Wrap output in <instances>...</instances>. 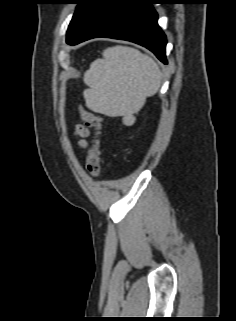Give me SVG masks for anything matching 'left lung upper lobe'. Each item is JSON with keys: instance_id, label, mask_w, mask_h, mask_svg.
<instances>
[{"instance_id": "5c2ea615", "label": "left lung upper lobe", "mask_w": 236, "mask_h": 321, "mask_svg": "<svg viewBox=\"0 0 236 321\" xmlns=\"http://www.w3.org/2000/svg\"><path fill=\"white\" fill-rule=\"evenodd\" d=\"M94 0H74L75 4H78L73 18L67 30V41L74 37L77 30L79 29L84 17L88 13Z\"/></svg>"}]
</instances>
